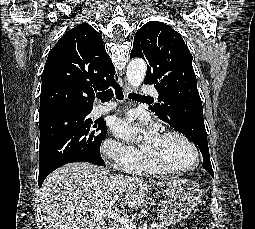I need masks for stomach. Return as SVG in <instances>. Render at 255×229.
Here are the masks:
<instances>
[{
  "label": "stomach",
  "instance_id": "stomach-1",
  "mask_svg": "<svg viewBox=\"0 0 255 229\" xmlns=\"http://www.w3.org/2000/svg\"><path fill=\"white\" fill-rule=\"evenodd\" d=\"M163 205L157 218L166 225L184 220L200 203L203 193L199 184L190 179H175L162 191Z\"/></svg>",
  "mask_w": 255,
  "mask_h": 229
}]
</instances>
